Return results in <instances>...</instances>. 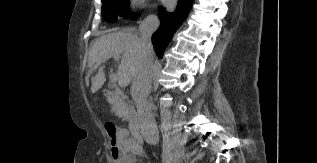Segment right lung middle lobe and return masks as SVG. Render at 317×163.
Wrapping results in <instances>:
<instances>
[{"label":"right lung middle lobe","instance_id":"right-lung-middle-lobe-1","mask_svg":"<svg viewBox=\"0 0 317 163\" xmlns=\"http://www.w3.org/2000/svg\"><path fill=\"white\" fill-rule=\"evenodd\" d=\"M102 16L110 22H115L117 17L136 19L130 12L129 0H102Z\"/></svg>","mask_w":317,"mask_h":163}]
</instances>
